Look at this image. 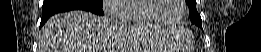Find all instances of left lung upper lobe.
Instances as JSON below:
<instances>
[{
  "label": "left lung upper lobe",
  "mask_w": 261,
  "mask_h": 52,
  "mask_svg": "<svg viewBox=\"0 0 261 52\" xmlns=\"http://www.w3.org/2000/svg\"><path fill=\"white\" fill-rule=\"evenodd\" d=\"M189 6V16L192 23L202 27V20L196 9V0H186Z\"/></svg>",
  "instance_id": "obj_1"
}]
</instances>
